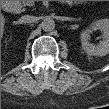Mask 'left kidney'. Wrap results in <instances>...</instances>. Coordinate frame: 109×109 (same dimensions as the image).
Here are the masks:
<instances>
[{"label": "left kidney", "instance_id": "obj_1", "mask_svg": "<svg viewBox=\"0 0 109 109\" xmlns=\"http://www.w3.org/2000/svg\"><path fill=\"white\" fill-rule=\"evenodd\" d=\"M101 30L103 32V40L99 45L89 43V34L94 30ZM81 44L84 51L89 55L105 56L109 53V22L107 19H101L92 23L90 29L81 33Z\"/></svg>", "mask_w": 109, "mask_h": 109}]
</instances>
